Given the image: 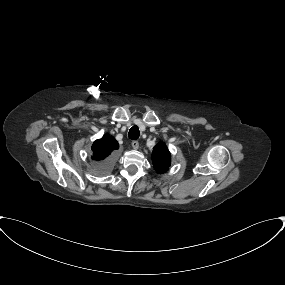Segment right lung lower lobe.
Segmentation results:
<instances>
[{
	"label": "right lung lower lobe",
	"mask_w": 285,
	"mask_h": 285,
	"mask_svg": "<svg viewBox=\"0 0 285 285\" xmlns=\"http://www.w3.org/2000/svg\"><path fill=\"white\" fill-rule=\"evenodd\" d=\"M110 167H111V164H110V162L107 160V161H105L103 164H102V166L99 168V170H98V174H105V173H107L109 170H110Z\"/></svg>",
	"instance_id": "right-lung-lower-lobe-1"
}]
</instances>
